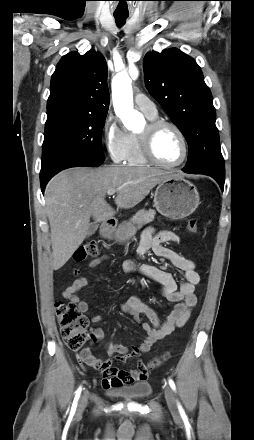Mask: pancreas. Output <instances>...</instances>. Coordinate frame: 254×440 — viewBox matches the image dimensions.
<instances>
[{"instance_id":"1","label":"pancreas","mask_w":254,"mask_h":440,"mask_svg":"<svg viewBox=\"0 0 254 440\" xmlns=\"http://www.w3.org/2000/svg\"><path fill=\"white\" fill-rule=\"evenodd\" d=\"M156 212L153 209L139 210L128 223L125 224L123 232L127 235L134 234L138 229L142 228L144 225L152 222L155 218Z\"/></svg>"}]
</instances>
